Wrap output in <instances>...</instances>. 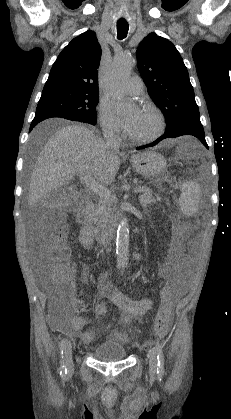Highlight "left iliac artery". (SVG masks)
Returning a JSON list of instances; mask_svg holds the SVG:
<instances>
[{
  "label": "left iliac artery",
  "instance_id": "obj_1",
  "mask_svg": "<svg viewBox=\"0 0 231 419\" xmlns=\"http://www.w3.org/2000/svg\"><path fill=\"white\" fill-rule=\"evenodd\" d=\"M156 353L158 362L157 373L159 376H162L164 374V355L162 351V346L158 342L156 343Z\"/></svg>",
  "mask_w": 231,
  "mask_h": 419
}]
</instances>
